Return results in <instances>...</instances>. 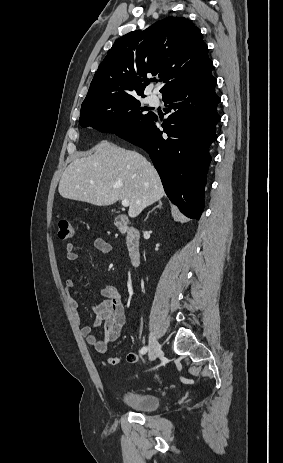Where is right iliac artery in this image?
Here are the masks:
<instances>
[{
  "instance_id": "right-iliac-artery-1",
  "label": "right iliac artery",
  "mask_w": 283,
  "mask_h": 463,
  "mask_svg": "<svg viewBox=\"0 0 283 463\" xmlns=\"http://www.w3.org/2000/svg\"><path fill=\"white\" fill-rule=\"evenodd\" d=\"M146 352H147V347H143V348L140 350V353H141L142 355H144Z\"/></svg>"
}]
</instances>
